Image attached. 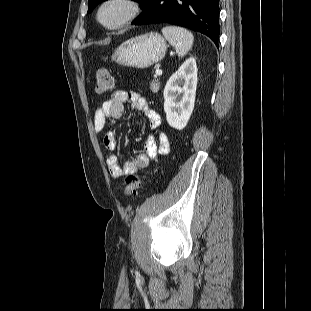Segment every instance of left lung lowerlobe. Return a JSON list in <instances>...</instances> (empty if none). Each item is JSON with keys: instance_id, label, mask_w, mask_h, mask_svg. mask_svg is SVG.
<instances>
[{"instance_id": "left-lung-lower-lobe-1", "label": "left lung lower lobe", "mask_w": 311, "mask_h": 311, "mask_svg": "<svg viewBox=\"0 0 311 311\" xmlns=\"http://www.w3.org/2000/svg\"><path fill=\"white\" fill-rule=\"evenodd\" d=\"M134 25L170 23L208 36L218 44L219 0H146Z\"/></svg>"}]
</instances>
